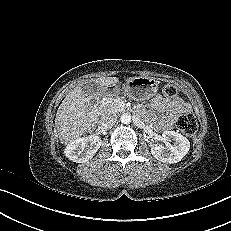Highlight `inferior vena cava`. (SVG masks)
Masks as SVG:
<instances>
[{
    "instance_id": "1",
    "label": "inferior vena cava",
    "mask_w": 231,
    "mask_h": 231,
    "mask_svg": "<svg viewBox=\"0 0 231 231\" xmlns=\"http://www.w3.org/2000/svg\"><path fill=\"white\" fill-rule=\"evenodd\" d=\"M117 118L118 117L116 114L105 115L102 119V125L106 128H109L117 122Z\"/></svg>"
}]
</instances>
